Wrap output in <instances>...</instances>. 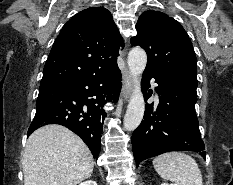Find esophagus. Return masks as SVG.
I'll return each instance as SVG.
<instances>
[{"instance_id": "esophagus-1", "label": "esophagus", "mask_w": 233, "mask_h": 185, "mask_svg": "<svg viewBox=\"0 0 233 185\" xmlns=\"http://www.w3.org/2000/svg\"><path fill=\"white\" fill-rule=\"evenodd\" d=\"M122 82H123V86H122L123 98L125 101H127L133 90V79H132L130 72L126 68L123 71Z\"/></svg>"}]
</instances>
